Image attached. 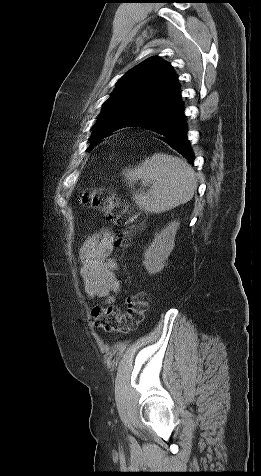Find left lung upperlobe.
<instances>
[{
  "label": "left lung upper lobe",
  "instance_id": "5c2ea615",
  "mask_svg": "<svg viewBox=\"0 0 261 476\" xmlns=\"http://www.w3.org/2000/svg\"><path fill=\"white\" fill-rule=\"evenodd\" d=\"M178 78L169 63L152 57L123 75L104 102L92 130L89 150L109 129L158 116L180 102Z\"/></svg>",
  "mask_w": 261,
  "mask_h": 476
}]
</instances>
